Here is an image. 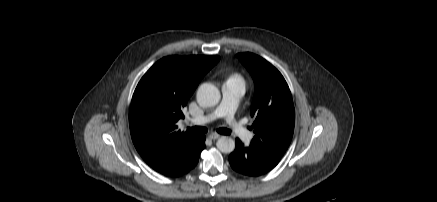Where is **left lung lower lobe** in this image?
<instances>
[{
    "label": "left lung lower lobe",
    "instance_id": "left-lung-lower-lobe-1",
    "mask_svg": "<svg viewBox=\"0 0 437 202\" xmlns=\"http://www.w3.org/2000/svg\"><path fill=\"white\" fill-rule=\"evenodd\" d=\"M231 167L246 176H260L272 170L276 165L267 161L250 146L245 147L236 139V148L229 156Z\"/></svg>",
    "mask_w": 437,
    "mask_h": 202
}]
</instances>
